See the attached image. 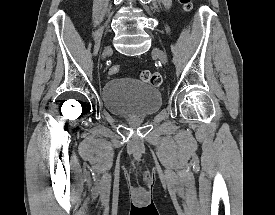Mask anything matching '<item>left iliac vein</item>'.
<instances>
[{
    "label": "left iliac vein",
    "mask_w": 275,
    "mask_h": 215,
    "mask_svg": "<svg viewBox=\"0 0 275 215\" xmlns=\"http://www.w3.org/2000/svg\"><path fill=\"white\" fill-rule=\"evenodd\" d=\"M153 52L158 56V58L163 62V63H166V56H165V53L163 51H161L160 49L158 48H155L153 50Z\"/></svg>",
    "instance_id": "4c4485c4"
}]
</instances>
